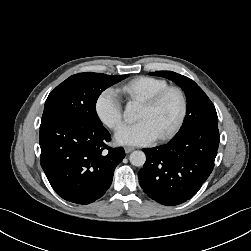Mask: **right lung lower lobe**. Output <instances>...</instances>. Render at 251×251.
<instances>
[{"label":"right lung lower lobe","instance_id":"98d812e1","mask_svg":"<svg viewBox=\"0 0 251 251\" xmlns=\"http://www.w3.org/2000/svg\"><path fill=\"white\" fill-rule=\"evenodd\" d=\"M110 133L71 116L41 121V166L54 191L63 199L89 204L111 185L116 166L125 157L124 149H112L106 142Z\"/></svg>","mask_w":251,"mask_h":251}]
</instances>
